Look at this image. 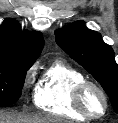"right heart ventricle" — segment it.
Wrapping results in <instances>:
<instances>
[{"label": "right heart ventricle", "mask_w": 118, "mask_h": 123, "mask_svg": "<svg viewBox=\"0 0 118 123\" xmlns=\"http://www.w3.org/2000/svg\"><path fill=\"white\" fill-rule=\"evenodd\" d=\"M83 81H86L83 73L63 61L55 60L41 72L35 84L34 104L52 115L88 120L73 104L74 89Z\"/></svg>", "instance_id": "1"}]
</instances>
